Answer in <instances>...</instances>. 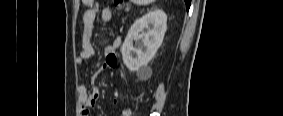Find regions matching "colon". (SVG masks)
I'll use <instances>...</instances> for the list:
<instances>
[{
  "instance_id": "obj_1",
  "label": "colon",
  "mask_w": 283,
  "mask_h": 116,
  "mask_svg": "<svg viewBox=\"0 0 283 116\" xmlns=\"http://www.w3.org/2000/svg\"><path fill=\"white\" fill-rule=\"evenodd\" d=\"M114 4H115V7L120 10H127L128 8L127 3L124 0H115Z\"/></svg>"
}]
</instances>
